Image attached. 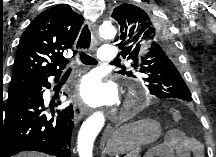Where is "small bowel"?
Instances as JSON below:
<instances>
[{
    "label": "small bowel",
    "mask_w": 216,
    "mask_h": 157,
    "mask_svg": "<svg viewBox=\"0 0 216 157\" xmlns=\"http://www.w3.org/2000/svg\"><path fill=\"white\" fill-rule=\"evenodd\" d=\"M202 144L195 138L185 135L179 130L170 131L161 147L160 157H202Z\"/></svg>",
    "instance_id": "small-bowel-1"
}]
</instances>
